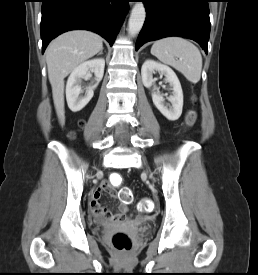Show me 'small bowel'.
<instances>
[{
  "label": "small bowel",
  "instance_id": "c3829d8e",
  "mask_svg": "<svg viewBox=\"0 0 258 275\" xmlns=\"http://www.w3.org/2000/svg\"><path fill=\"white\" fill-rule=\"evenodd\" d=\"M111 190V185L107 182H102L101 184L98 185V187L95 189V191L92 194L89 207L91 212L98 216V217H103L107 220H114L118 217L123 216L127 212V206L126 202L122 201L120 205V212L118 214H114L110 211H108L105 208H102L100 205V197L101 193L103 191H110Z\"/></svg>",
  "mask_w": 258,
  "mask_h": 275
}]
</instances>
